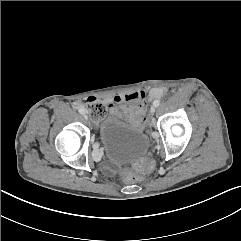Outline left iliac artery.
I'll use <instances>...</instances> for the list:
<instances>
[{"mask_svg":"<svg viewBox=\"0 0 241 241\" xmlns=\"http://www.w3.org/2000/svg\"><path fill=\"white\" fill-rule=\"evenodd\" d=\"M159 104H160V101H159V100H154L153 105H154L155 107H158Z\"/></svg>","mask_w":241,"mask_h":241,"instance_id":"44dca946","label":"left iliac artery"}]
</instances>
